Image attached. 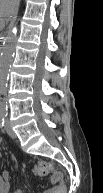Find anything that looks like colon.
Instances as JSON below:
<instances>
[{
  "label": "colon",
  "mask_w": 103,
  "mask_h": 193,
  "mask_svg": "<svg viewBox=\"0 0 103 193\" xmlns=\"http://www.w3.org/2000/svg\"><path fill=\"white\" fill-rule=\"evenodd\" d=\"M36 172L41 177L48 176L52 172V165L47 161H40L36 166ZM54 180L59 184H63V179L59 175H56ZM62 193H64V190H62Z\"/></svg>",
  "instance_id": "1"
}]
</instances>
